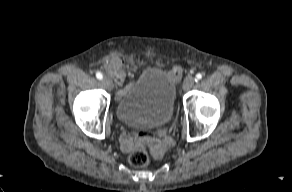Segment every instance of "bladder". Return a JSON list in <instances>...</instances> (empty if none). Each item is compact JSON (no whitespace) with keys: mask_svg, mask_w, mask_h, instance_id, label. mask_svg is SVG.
I'll return each instance as SVG.
<instances>
[{"mask_svg":"<svg viewBox=\"0 0 292 192\" xmlns=\"http://www.w3.org/2000/svg\"><path fill=\"white\" fill-rule=\"evenodd\" d=\"M175 97L172 79L160 69L148 68L123 90L116 115L129 126H162L174 115Z\"/></svg>","mask_w":292,"mask_h":192,"instance_id":"1","label":"bladder"}]
</instances>
